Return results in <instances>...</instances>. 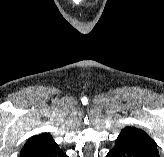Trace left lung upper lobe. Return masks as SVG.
<instances>
[{
	"mask_svg": "<svg viewBox=\"0 0 164 157\" xmlns=\"http://www.w3.org/2000/svg\"><path fill=\"white\" fill-rule=\"evenodd\" d=\"M120 135H127V136H133L136 137L144 142H147L149 144H151L152 146H154L155 148H157V144L155 143V141L150 138L143 130L141 129H137L135 127H126L124 128Z\"/></svg>",
	"mask_w": 164,
	"mask_h": 157,
	"instance_id": "obj_1",
	"label": "left lung upper lobe"
}]
</instances>
